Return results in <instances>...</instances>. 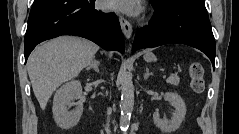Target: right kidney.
I'll use <instances>...</instances> for the list:
<instances>
[{
  "label": "right kidney",
  "mask_w": 239,
  "mask_h": 134,
  "mask_svg": "<svg viewBox=\"0 0 239 134\" xmlns=\"http://www.w3.org/2000/svg\"><path fill=\"white\" fill-rule=\"evenodd\" d=\"M82 96L81 83L77 80L64 84L57 90L53 100V117L56 124L63 129H68L78 123L83 112V104L78 101L76 108L68 110V106L79 100Z\"/></svg>",
  "instance_id": "ca27d5eb"
}]
</instances>
